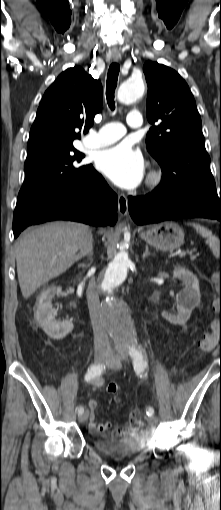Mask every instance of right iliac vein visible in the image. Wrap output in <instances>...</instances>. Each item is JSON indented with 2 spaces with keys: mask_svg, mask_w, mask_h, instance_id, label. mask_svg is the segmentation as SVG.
Masks as SVG:
<instances>
[{
  "mask_svg": "<svg viewBox=\"0 0 221 510\" xmlns=\"http://www.w3.org/2000/svg\"><path fill=\"white\" fill-rule=\"evenodd\" d=\"M108 358H109L108 355L103 354V353H97L95 355V361L98 363L105 362L108 360ZM88 416H89V412L86 410V411L82 412L81 414H79L78 421L80 423H84L85 421H87Z\"/></svg>",
  "mask_w": 221,
  "mask_h": 510,
  "instance_id": "63e3f726",
  "label": "right iliac vein"
}]
</instances>
